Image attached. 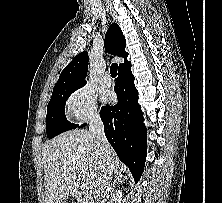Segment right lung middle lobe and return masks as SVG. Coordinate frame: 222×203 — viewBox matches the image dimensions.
I'll return each instance as SVG.
<instances>
[{
    "instance_id": "dd1d6c3e",
    "label": "right lung middle lobe",
    "mask_w": 222,
    "mask_h": 203,
    "mask_svg": "<svg viewBox=\"0 0 222 203\" xmlns=\"http://www.w3.org/2000/svg\"><path fill=\"white\" fill-rule=\"evenodd\" d=\"M80 87L59 90L52 93L46 115V132L49 139L77 127V124H73L66 119L64 107L68 97Z\"/></svg>"
}]
</instances>
